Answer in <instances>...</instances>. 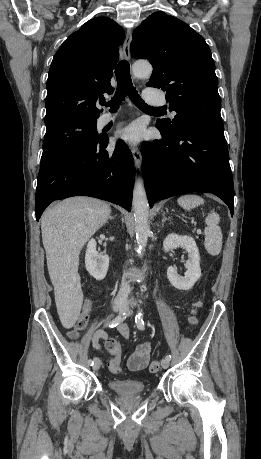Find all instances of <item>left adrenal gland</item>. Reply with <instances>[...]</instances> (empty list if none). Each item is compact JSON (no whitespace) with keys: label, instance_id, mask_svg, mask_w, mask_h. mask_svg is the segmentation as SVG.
I'll use <instances>...</instances> for the list:
<instances>
[{"label":"left adrenal gland","instance_id":"left-adrenal-gland-1","mask_svg":"<svg viewBox=\"0 0 261 459\" xmlns=\"http://www.w3.org/2000/svg\"><path fill=\"white\" fill-rule=\"evenodd\" d=\"M166 221H170V218H167V217L165 216V214L163 213L162 226H164V223H165Z\"/></svg>","mask_w":261,"mask_h":459}]
</instances>
